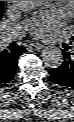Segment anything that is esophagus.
Instances as JSON below:
<instances>
[{
    "label": "esophagus",
    "mask_w": 74,
    "mask_h": 122,
    "mask_svg": "<svg viewBox=\"0 0 74 122\" xmlns=\"http://www.w3.org/2000/svg\"><path fill=\"white\" fill-rule=\"evenodd\" d=\"M46 46L42 43H32L28 46V48H34L35 50L44 49Z\"/></svg>",
    "instance_id": "34e87169"
}]
</instances>
